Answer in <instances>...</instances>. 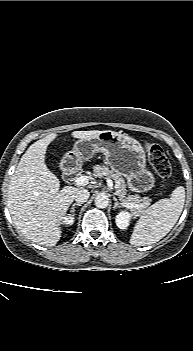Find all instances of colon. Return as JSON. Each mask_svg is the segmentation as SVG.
Listing matches in <instances>:
<instances>
[{
    "instance_id": "colon-1",
    "label": "colon",
    "mask_w": 193,
    "mask_h": 351,
    "mask_svg": "<svg viewBox=\"0 0 193 351\" xmlns=\"http://www.w3.org/2000/svg\"><path fill=\"white\" fill-rule=\"evenodd\" d=\"M145 147L149 163L160 177L162 186H165L172 172L170 162L158 144L147 142Z\"/></svg>"
}]
</instances>
